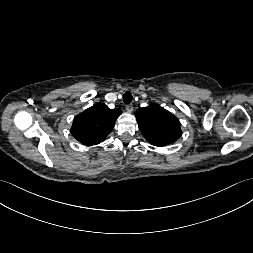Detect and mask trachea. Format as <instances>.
<instances>
[{
	"mask_svg": "<svg viewBox=\"0 0 253 253\" xmlns=\"http://www.w3.org/2000/svg\"><path fill=\"white\" fill-rule=\"evenodd\" d=\"M131 101H132V94H131V92H129V91L125 92L124 95H123V102L125 104H130Z\"/></svg>",
	"mask_w": 253,
	"mask_h": 253,
	"instance_id": "3493384b",
	"label": "trachea"
}]
</instances>
